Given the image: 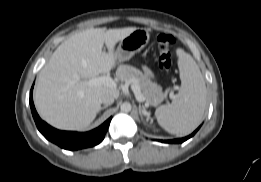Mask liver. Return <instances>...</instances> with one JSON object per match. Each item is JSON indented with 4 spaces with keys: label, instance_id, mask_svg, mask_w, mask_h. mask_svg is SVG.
<instances>
[{
    "label": "liver",
    "instance_id": "6515ba94",
    "mask_svg": "<svg viewBox=\"0 0 261 182\" xmlns=\"http://www.w3.org/2000/svg\"><path fill=\"white\" fill-rule=\"evenodd\" d=\"M136 29L90 28L60 44L39 73L34 102L40 117L58 129H87L102 96L119 97L116 87L90 85L89 80L114 68L116 43Z\"/></svg>",
    "mask_w": 261,
    "mask_h": 182
}]
</instances>
